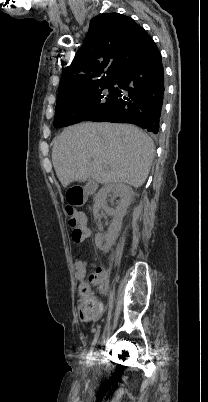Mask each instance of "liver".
Listing matches in <instances>:
<instances>
[{
	"mask_svg": "<svg viewBox=\"0 0 208 402\" xmlns=\"http://www.w3.org/2000/svg\"><path fill=\"white\" fill-rule=\"evenodd\" d=\"M154 144L132 124H76L54 140L52 162L63 188L72 182L144 184Z\"/></svg>",
	"mask_w": 208,
	"mask_h": 402,
	"instance_id": "liver-1",
	"label": "liver"
}]
</instances>
